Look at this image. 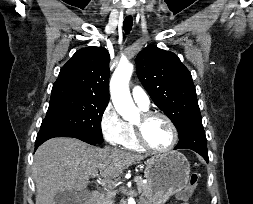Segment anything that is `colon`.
Segmentation results:
<instances>
[{
  "mask_svg": "<svg viewBox=\"0 0 253 204\" xmlns=\"http://www.w3.org/2000/svg\"><path fill=\"white\" fill-rule=\"evenodd\" d=\"M199 179L200 175L198 173H192L190 175L187 186L182 190V192L179 195V200L186 201L190 198V196L195 191L198 185Z\"/></svg>",
  "mask_w": 253,
  "mask_h": 204,
  "instance_id": "5ec220e1",
  "label": "colon"
}]
</instances>
